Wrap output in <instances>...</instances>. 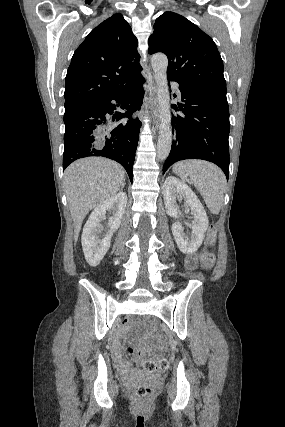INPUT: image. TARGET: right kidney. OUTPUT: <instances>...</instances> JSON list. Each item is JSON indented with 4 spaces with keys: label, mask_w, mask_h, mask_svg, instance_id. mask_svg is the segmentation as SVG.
I'll return each mask as SVG.
<instances>
[{
    "label": "right kidney",
    "mask_w": 285,
    "mask_h": 427,
    "mask_svg": "<svg viewBox=\"0 0 285 427\" xmlns=\"http://www.w3.org/2000/svg\"><path fill=\"white\" fill-rule=\"evenodd\" d=\"M126 204V193L119 192L99 204L90 214L83 228L81 242L85 258L91 266H97L110 248L112 235L120 227ZM107 211L112 212L108 222L109 230L106 236L99 240L97 233L101 228V221L106 219Z\"/></svg>",
    "instance_id": "obj_1"
}]
</instances>
